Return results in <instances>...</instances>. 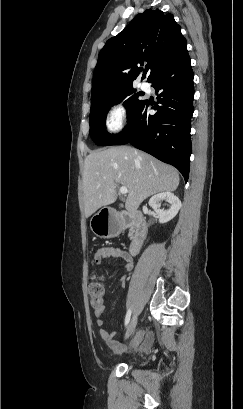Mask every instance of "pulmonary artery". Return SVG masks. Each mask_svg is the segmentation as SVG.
<instances>
[{"label":"pulmonary artery","mask_w":243,"mask_h":409,"mask_svg":"<svg viewBox=\"0 0 243 409\" xmlns=\"http://www.w3.org/2000/svg\"><path fill=\"white\" fill-rule=\"evenodd\" d=\"M140 88L142 90H147L149 88V85L146 82H141L140 83Z\"/></svg>","instance_id":"obj_1"}]
</instances>
